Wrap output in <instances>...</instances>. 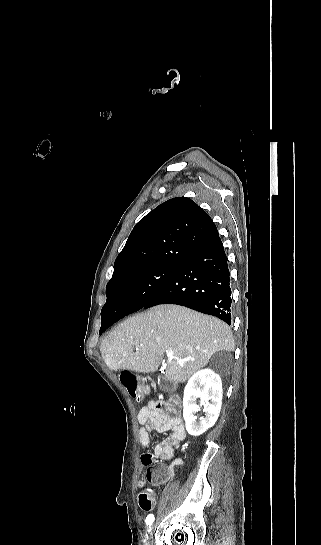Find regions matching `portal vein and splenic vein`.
<instances>
[{
    "mask_svg": "<svg viewBox=\"0 0 321 545\" xmlns=\"http://www.w3.org/2000/svg\"><path fill=\"white\" fill-rule=\"evenodd\" d=\"M168 359H172L173 351H166ZM178 363H184V361H194V359H177Z\"/></svg>",
    "mask_w": 321,
    "mask_h": 545,
    "instance_id": "1",
    "label": "portal vein and splenic vein"
}]
</instances>
